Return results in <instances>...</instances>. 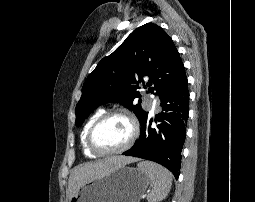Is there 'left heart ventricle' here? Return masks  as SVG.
I'll list each match as a JSON object with an SVG mask.
<instances>
[{"label":"left heart ventricle","mask_w":255,"mask_h":202,"mask_svg":"<svg viewBox=\"0 0 255 202\" xmlns=\"http://www.w3.org/2000/svg\"><path fill=\"white\" fill-rule=\"evenodd\" d=\"M131 126L127 119L114 116L103 121L96 129L93 142L102 151H112L122 147L130 138Z\"/></svg>","instance_id":"b2bd125f"}]
</instances>
